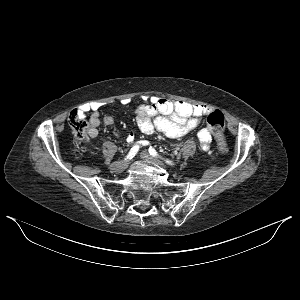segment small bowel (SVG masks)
I'll return each mask as SVG.
<instances>
[{
  "label": "small bowel",
  "instance_id": "c3829d8e",
  "mask_svg": "<svg viewBox=\"0 0 300 300\" xmlns=\"http://www.w3.org/2000/svg\"><path fill=\"white\" fill-rule=\"evenodd\" d=\"M129 99L122 100L123 105H128ZM99 102H90L82 105L79 113L86 117V135L82 138L84 144H88L90 139L98 136V127L101 124ZM209 107L203 104H190L186 101H173L168 98L149 96L146 103L140 104L135 108V117L139 130L145 135L154 132H161L168 137L178 138L197 129L202 122V116L209 111ZM114 120L111 116L103 119L105 126L113 125ZM197 138L203 150L208 151L212 141V135L208 128L198 130ZM134 135L128 134L127 141L132 142ZM145 144V142H143Z\"/></svg>",
  "mask_w": 300,
  "mask_h": 300
}]
</instances>
